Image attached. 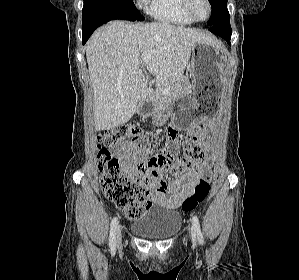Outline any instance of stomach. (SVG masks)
Instances as JSON below:
<instances>
[{"mask_svg": "<svg viewBox=\"0 0 299 280\" xmlns=\"http://www.w3.org/2000/svg\"><path fill=\"white\" fill-rule=\"evenodd\" d=\"M191 52L188 71L192 94L176 100L178 111L173 114V120L182 129H188L202 116L217 115L224 97L223 70L227 62L224 47L215 41L198 42L192 45ZM173 106L174 102H171L164 108L172 112ZM138 113L143 117H154L157 126L167 120V116L157 115V109L150 105L141 106Z\"/></svg>", "mask_w": 299, "mask_h": 280, "instance_id": "0dacf381", "label": "stomach"}]
</instances>
